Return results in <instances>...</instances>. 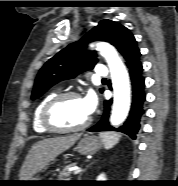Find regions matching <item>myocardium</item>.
Masks as SVG:
<instances>
[{
    "mask_svg": "<svg viewBox=\"0 0 178 186\" xmlns=\"http://www.w3.org/2000/svg\"><path fill=\"white\" fill-rule=\"evenodd\" d=\"M69 98H79L82 99L81 95L75 91H68V92H62L54 95L51 99H49L41 111V124L44 126L46 130L52 133H74L79 132L84 129H86L92 122V117L89 116L88 119L81 125L71 128H62L57 125H55L52 122L51 114L54 109V107L60 103L61 101Z\"/></svg>",
    "mask_w": 178,
    "mask_h": 186,
    "instance_id": "1",
    "label": "myocardium"
}]
</instances>
